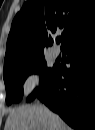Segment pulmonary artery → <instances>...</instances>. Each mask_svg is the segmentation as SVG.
<instances>
[{
  "mask_svg": "<svg viewBox=\"0 0 95 130\" xmlns=\"http://www.w3.org/2000/svg\"><path fill=\"white\" fill-rule=\"evenodd\" d=\"M50 52L52 57L54 58H56L59 55V49L56 46H53Z\"/></svg>",
  "mask_w": 95,
  "mask_h": 130,
  "instance_id": "obj_1",
  "label": "pulmonary artery"
}]
</instances>
